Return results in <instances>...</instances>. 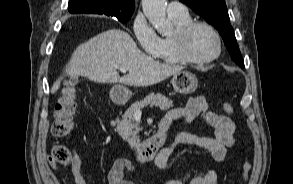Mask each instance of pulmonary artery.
Segmentation results:
<instances>
[{"label":"pulmonary artery","instance_id":"1","mask_svg":"<svg viewBox=\"0 0 293 184\" xmlns=\"http://www.w3.org/2000/svg\"><path fill=\"white\" fill-rule=\"evenodd\" d=\"M167 13L169 16H184L188 14V11L181 2L172 1L167 6Z\"/></svg>","mask_w":293,"mask_h":184}]
</instances>
